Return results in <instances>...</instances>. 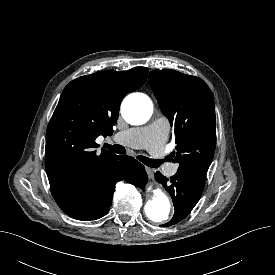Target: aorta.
<instances>
[{
    "label": "aorta",
    "instance_id": "762f6f07",
    "mask_svg": "<svg viewBox=\"0 0 275 275\" xmlns=\"http://www.w3.org/2000/svg\"><path fill=\"white\" fill-rule=\"evenodd\" d=\"M154 105L151 99L136 93L128 96L121 105L123 118L131 125H141L148 121L153 113ZM149 199L145 205L147 217L156 223L168 220L172 212L171 202L167 194L159 188H148Z\"/></svg>",
    "mask_w": 275,
    "mask_h": 275
}]
</instances>
